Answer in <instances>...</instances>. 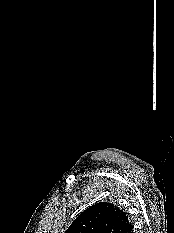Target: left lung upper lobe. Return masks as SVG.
<instances>
[{"instance_id": "1", "label": "left lung upper lobe", "mask_w": 174, "mask_h": 233, "mask_svg": "<svg viewBox=\"0 0 174 233\" xmlns=\"http://www.w3.org/2000/svg\"><path fill=\"white\" fill-rule=\"evenodd\" d=\"M130 225L125 212L113 204L99 202L83 211L65 233H123Z\"/></svg>"}]
</instances>
